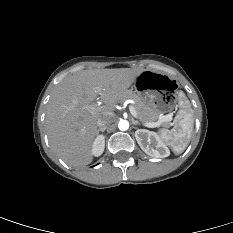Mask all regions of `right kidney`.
Listing matches in <instances>:
<instances>
[{"label":"right kidney","instance_id":"1","mask_svg":"<svg viewBox=\"0 0 233 233\" xmlns=\"http://www.w3.org/2000/svg\"><path fill=\"white\" fill-rule=\"evenodd\" d=\"M104 148H105V137L99 135L93 141L91 152L94 156L98 157L103 153Z\"/></svg>","mask_w":233,"mask_h":233}]
</instances>
